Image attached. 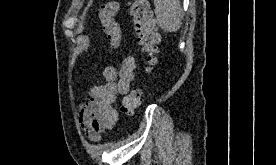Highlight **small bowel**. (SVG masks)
I'll use <instances>...</instances> for the list:
<instances>
[{
    "instance_id": "1",
    "label": "small bowel",
    "mask_w": 276,
    "mask_h": 165,
    "mask_svg": "<svg viewBox=\"0 0 276 165\" xmlns=\"http://www.w3.org/2000/svg\"><path fill=\"white\" fill-rule=\"evenodd\" d=\"M135 69L136 61L133 56H127L118 69L114 66L105 67V82L93 86L87 101L79 107V123L89 140L98 141L102 133L115 125L118 118L116 98L129 92Z\"/></svg>"
}]
</instances>
